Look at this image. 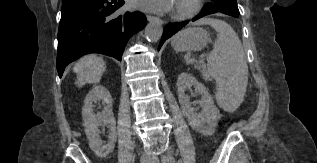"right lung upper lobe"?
<instances>
[{
  "label": "right lung upper lobe",
  "instance_id": "cb5924a9",
  "mask_svg": "<svg viewBox=\"0 0 317 163\" xmlns=\"http://www.w3.org/2000/svg\"><path fill=\"white\" fill-rule=\"evenodd\" d=\"M67 1H70V0H63V2H67Z\"/></svg>",
  "mask_w": 317,
  "mask_h": 163
}]
</instances>
